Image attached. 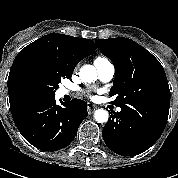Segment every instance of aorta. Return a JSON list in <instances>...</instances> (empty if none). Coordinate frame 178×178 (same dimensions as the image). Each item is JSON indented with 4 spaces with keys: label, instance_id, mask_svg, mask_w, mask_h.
<instances>
[{
    "label": "aorta",
    "instance_id": "762f6f07",
    "mask_svg": "<svg viewBox=\"0 0 178 178\" xmlns=\"http://www.w3.org/2000/svg\"><path fill=\"white\" fill-rule=\"evenodd\" d=\"M79 76L83 82H94L97 79V72L94 66L84 65L79 72ZM94 118L98 123H105L109 119V113L105 109H97Z\"/></svg>",
    "mask_w": 178,
    "mask_h": 178
}]
</instances>
